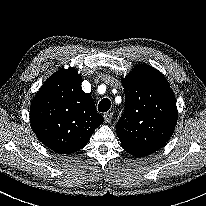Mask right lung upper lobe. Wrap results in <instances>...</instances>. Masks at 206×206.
<instances>
[{"label":"right lung upper lobe","instance_id":"obj_1","mask_svg":"<svg viewBox=\"0 0 206 206\" xmlns=\"http://www.w3.org/2000/svg\"><path fill=\"white\" fill-rule=\"evenodd\" d=\"M81 83L76 69H61L45 81L31 102L30 122L36 136L57 153L70 154L85 147L104 121Z\"/></svg>","mask_w":206,"mask_h":206}]
</instances>
